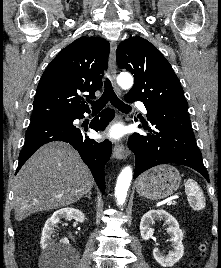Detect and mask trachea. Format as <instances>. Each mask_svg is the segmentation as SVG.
Here are the masks:
<instances>
[{
  "label": "trachea",
  "instance_id": "1",
  "mask_svg": "<svg viewBox=\"0 0 221 268\" xmlns=\"http://www.w3.org/2000/svg\"><path fill=\"white\" fill-rule=\"evenodd\" d=\"M105 89L102 94V96L96 100L91 101L88 100V102L91 104L92 109L94 110H101L103 107H105L106 103L110 100L111 104L116 107L117 109L121 111H129L131 110V107L127 104L123 103L115 94L113 87L111 85V82L109 79H106L105 81Z\"/></svg>",
  "mask_w": 221,
  "mask_h": 268
}]
</instances>
